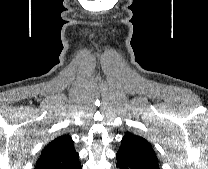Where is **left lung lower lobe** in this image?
I'll return each mask as SVG.
<instances>
[{
  "instance_id": "0a47b994",
  "label": "left lung lower lobe",
  "mask_w": 208,
  "mask_h": 169,
  "mask_svg": "<svg viewBox=\"0 0 208 169\" xmlns=\"http://www.w3.org/2000/svg\"><path fill=\"white\" fill-rule=\"evenodd\" d=\"M116 159L119 169H147L132 156L122 151L117 152Z\"/></svg>"
}]
</instances>
